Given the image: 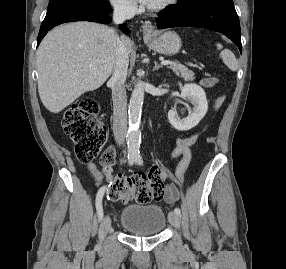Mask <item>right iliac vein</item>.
I'll return each instance as SVG.
<instances>
[{"label":"right iliac vein","instance_id":"right-iliac-vein-1","mask_svg":"<svg viewBox=\"0 0 286 269\" xmlns=\"http://www.w3.org/2000/svg\"><path fill=\"white\" fill-rule=\"evenodd\" d=\"M111 227V218L109 216H105L99 229V239L100 243L102 242L103 238L107 234Z\"/></svg>","mask_w":286,"mask_h":269}]
</instances>
